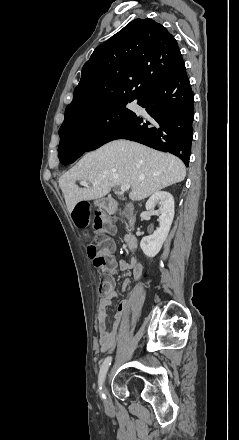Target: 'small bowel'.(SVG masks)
I'll list each match as a JSON object with an SVG mask.
<instances>
[{
	"label": "small bowel",
	"mask_w": 239,
	"mask_h": 440,
	"mask_svg": "<svg viewBox=\"0 0 239 440\" xmlns=\"http://www.w3.org/2000/svg\"><path fill=\"white\" fill-rule=\"evenodd\" d=\"M118 267L121 271H128L134 269V277L140 279L143 275L144 266L137 262L136 258L133 256L129 262L121 259L119 261ZM123 290H131L130 279H125L122 285ZM117 297V293L114 290V281L110 279V285L106 292L100 300L98 307V329H99V346L101 352L111 351L116 344L117 335L121 325L122 315L125 311V304L120 303L117 306L116 314L114 316V322L112 329L107 327L108 312L107 308L112 304L114 298Z\"/></svg>",
	"instance_id": "c3829d8e"
}]
</instances>
